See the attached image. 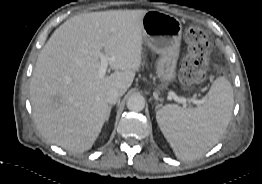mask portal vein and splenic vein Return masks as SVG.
Returning <instances> with one entry per match:
<instances>
[{
	"label": "portal vein and splenic vein",
	"mask_w": 262,
	"mask_h": 184,
	"mask_svg": "<svg viewBox=\"0 0 262 184\" xmlns=\"http://www.w3.org/2000/svg\"><path fill=\"white\" fill-rule=\"evenodd\" d=\"M99 58H100V61H101V65H100V69H99V75L101 77H103L106 74V71H107V68H108V62L113 60V58H108L101 52L99 53ZM170 95L172 96V98L175 101L182 103L183 105H186L187 102H193L196 105H201L203 103V101L197 100L195 98L187 99L185 97H179V96L175 95L174 93H172Z\"/></svg>",
	"instance_id": "portal-vein-and-splenic-vein-1"
}]
</instances>
